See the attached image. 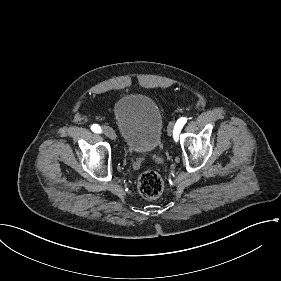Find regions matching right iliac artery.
Listing matches in <instances>:
<instances>
[{
  "mask_svg": "<svg viewBox=\"0 0 281 281\" xmlns=\"http://www.w3.org/2000/svg\"><path fill=\"white\" fill-rule=\"evenodd\" d=\"M91 129L95 133H100L101 132V127L99 125H97V124L92 125Z\"/></svg>",
  "mask_w": 281,
  "mask_h": 281,
  "instance_id": "right-iliac-artery-1",
  "label": "right iliac artery"
}]
</instances>
